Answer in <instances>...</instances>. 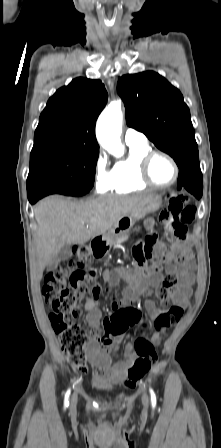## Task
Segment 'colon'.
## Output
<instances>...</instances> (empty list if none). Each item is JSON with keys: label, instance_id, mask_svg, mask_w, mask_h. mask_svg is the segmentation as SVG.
Returning <instances> with one entry per match:
<instances>
[{"label": "colon", "instance_id": "obj_1", "mask_svg": "<svg viewBox=\"0 0 221 448\" xmlns=\"http://www.w3.org/2000/svg\"><path fill=\"white\" fill-rule=\"evenodd\" d=\"M196 216L195 208L189 204L188 199L181 195H170L167 206L161 212L160 219L163 221L168 234L177 239L187 238L188 225L193 223ZM154 237L147 236L140 241L135 248L137 263L143 265L151 261L155 270H160V262L153 255L152 247ZM186 256H178L180 262ZM98 271L91 266V250L85 244L76 245L69 258L62 261L55 269L46 273L42 288L43 297L52 312L50 320L54 331L59 335L62 348L67 356L69 364L79 373L87 372L86 345L90 341L89 332L77 319L79 311L77 303L87 296H93L98 288L96 281ZM177 278L174 274L163 272V285L156 291V295L163 306L167 309L154 322L155 335L167 330L171 325L178 323L183 314V308L178 305H169L170 290L176 285ZM150 292V290H147ZM128 320L125 325L139 324L140 329L145 332L148 324L142 314L130 306L126 310ZM107 330L111 329L105 323ZM135 350L138 355L128 370L124 385L132 389L151 370L156 362V352L153 345L140 338L136 340Z\"/></svg>", "mask_w": 221, "mask_h": 448}]
</instances>
